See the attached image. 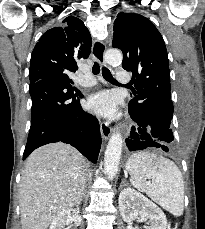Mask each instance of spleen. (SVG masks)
<instances>
[{"instance_id":"3e777b00","label":"spleen","mask_w":205,"mask_h":229,"mask_svg":"<svg viewBox=\"0 0 205 229\" xmlns=\"http://www.w3.org/2000/svg\"><path fill=\"white\" fill-rule=\"evenodd\" d=\"M126 170L135 188L174 216L183 214L184 181L174 162L156 154L137 152L127 160ZM150 179L152 183L147 181Z\"/></svg>"}]
</instances>
